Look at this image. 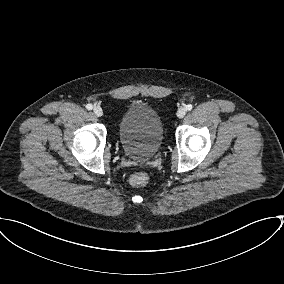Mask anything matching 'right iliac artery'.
I'll return each instance as SVG.
<instances>
[{
    "label": "right iliac artery",
    "instance_id": "right-iliac-artery-1",
    "mask_svg": "<svg viewBox=\"0 0 284 284\" xmlns=\"http://www.w3.org/2000/svg\"><path fill=\"white\" fill-rule=\"evenodd\" d=\"M92 108H93L92 104H87V105H86V109L92 110Z\"/></svg>",
    "mask_w": 284,
    "mask_h": 284
}]
</instances>
